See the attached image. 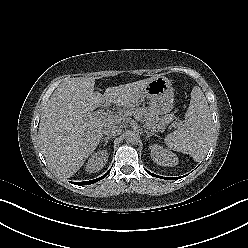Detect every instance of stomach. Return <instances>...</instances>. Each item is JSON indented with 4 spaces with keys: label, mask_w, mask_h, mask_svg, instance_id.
I'll return each instance as SVG.
<instances>
[{
    "label": "stomach",
    "mask_w": 248,
    "mask_h": 248,
    "mask_svg": "<svg viewBox=\"0 0 248 248\" xmlns=\"http://www.w3.org/2000/svg\"><path fill=\"white\" fill-rule=\"evenodd\" d=\"M145 99L150 100V110L153 112L157 114L170 112L174 104V91L171 81L161 75L153 77L141 89L139 96L130 106L137 105Z\"/></svg>",
    "instance_id": "1"
}]
</instances>
